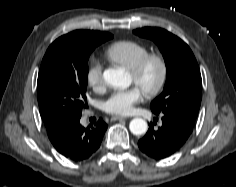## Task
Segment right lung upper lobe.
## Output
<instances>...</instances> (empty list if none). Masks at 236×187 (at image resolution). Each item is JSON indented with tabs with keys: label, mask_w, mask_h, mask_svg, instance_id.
<instances>
[{
	"label": "right lung upper lobe",
	"mask_w": 236,
	"mask_h": 187,
	"mask_svg": "<svg viewBox=\"0 0 236 187\" xmlns=\"http://www.w3.org/2000/svg\"><path fill=\"white\" fill-rule=\"evenodd\" d=\"M98 35H111V34L106 33V32H99V31L76 30L62 37L73 39L76 41H82V40H85L94 36H98ZM45 126L47 128L48 137L50 141L52 142V144L58 141L61 134L67 128L66 126H52L49 124H45Z\"/></svg>",
	"instance_id": "cb5924a9"
}]
</instances>
